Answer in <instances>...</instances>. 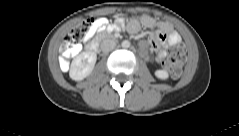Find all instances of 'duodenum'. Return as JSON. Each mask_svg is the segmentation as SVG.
I'll return each instance as SVG.
<instances>
[{
  "instance_id": "duodenum-1",
  "label": "duodenum",
  "mask_w": 239,
  "mask_h": 136,
  "mask_svg": "<svg viewBox=\"0 0 239 136\" xmlns=\"http://www.w3.org/2000/svg\"><path fill=\"white\" fill-rule=\"evenodd\" d=\"M87 49L90 52H94V53L98 52V50H99V42L97 40L92 41L91 43L88 44Z\"/></svg>"
}]
</instances>
